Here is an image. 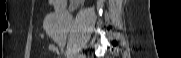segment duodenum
<instances>
[{"label":"duodenum","instance_id":"obj_1","mask_svg":"<svg viewBox=\"0 0 181 58\" xmlns=\"http://www.w3.org/2000/svg\"><path fill=\"white\" fill-rule=\"evenodd\" d=\"M78 2L79 0H72V4L74 5ZM54 5L57 10H64L67 6V0H55Z\"/></svg>","mask_w":181,"mask_h":58}]
</instances>
